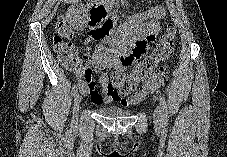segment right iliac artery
<instances>
[{
    "label": "right iliac artery",
    "instance_id": "right-iliac-artery-1",
    "mask_svg": "<svg viewBox=\"0 0 227 157\" xmlns=\"http://www.w3.org/2000/svg\"><path fill=\"white\" fill-rule=\"evenodd\" d=\"M76 93H77V86L74 85V86L72 87V94L75 95Z\"/></svg>",
    "mask_w": 227,
    "mask_h": 157
}]
</instances>
